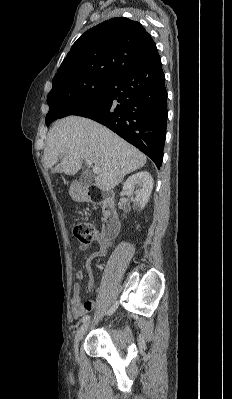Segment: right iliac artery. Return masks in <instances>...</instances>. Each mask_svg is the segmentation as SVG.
I'll return each instance as SVG.
<instances>
[{
    "mask_svg": "<svg viewBox=\"0 0 232 399\" xmlns=\"http://www.w3.org/2000/svg\"><path fill=\"white\" fill-rule=\"evenodd\" d=\"M119 305V302L116 301L113 306L106 312V315H111L115 312V310L117 309ZM90 320V315H85L82 317L81 322L82 324H85L86 322H88Z\"/></svg>",
    "mask_w": 232,
    "mask_h": 399,
    "instance_id": "82829eb1",
    "label": "right iliac artery"
}]
</instances>
